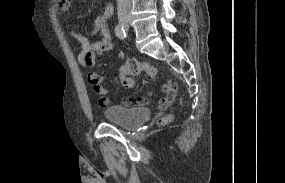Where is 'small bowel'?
Returning a JSON list of instances; mask_svg holds the SVG:
<instances>
[{"label": "small bowel", "mask_w": 285, "mask_h": 183, "mask_svg": "<svg viewBox=\"0 0 285 183\" xmlns=\"http://www.w3.org/2000/svg\"><path fill=\"white\" fill-rule=\"evenodd\" d=\"M71 0H64L60 10L62 12H67L70 6ZM112 15V6L107 4L104 9L103 16L98 18L94 24V27L87 33L89 35L96 34L98 31L102 32L103 38L96 42H91L86 34L81 32L70 30L69 36L75 39L81 44V51L78 55V61L83 67H93L97 60L104 55L106 52L114 48V43L111 39L110 30L105 25V20L111 17ZM88 80L93 89V91L98 95L99 105L105 107L109 104V98L107 96L108 89L104 86L105 76L97 72H89ZM177 83L173 80L168 81L162 88L164 97L161 98L159 105L161 108L169 107L176 96L177 92ZM130 98L124 99V103L129 104ZM144 101L142 99H138ZM140 103V102H138Z\"/></svg>", "instance_id": "small-bowel-1"}]
</instances>
